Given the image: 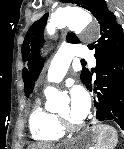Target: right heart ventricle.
Listing matches in <instances>:
<instances>
[{"mask_svg":"<svg viewBox=\"0 0 124 149\" xmlns=\"http://www.w3.org/2000/svg\"><path fill=\"white\" fill-rule=\"evenodd\" d=\"M29 131L31 137L41 143L60 140L64 131L59 127L55 113L49 111L42 99H37L29 113Z\"/></svg>","mask_w":124,"mask_h":149,"instance_id":"e07e8e85","label":"right heart ventricle"}]
</instances>
